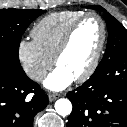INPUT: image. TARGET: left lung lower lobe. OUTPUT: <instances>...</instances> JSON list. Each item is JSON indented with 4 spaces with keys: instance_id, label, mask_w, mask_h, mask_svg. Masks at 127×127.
Listing matches in <instances>:
<instances>
[{
    "instance_id": "1",
    "label": "left lung lower lobe",
    "mask_w": 127,
    "mask_h": 127,
    "mask_svg": "<svg viewBox=\"0 0 127 127\" xmlns=\"http://www.w3.org/2000/svg\"><path fill=\"white\" fill-rule=\"evenodd\" d=\"M67 97L73 105L67 127H127V52L98 66Z\"/></svg>"
}]
</instances>
